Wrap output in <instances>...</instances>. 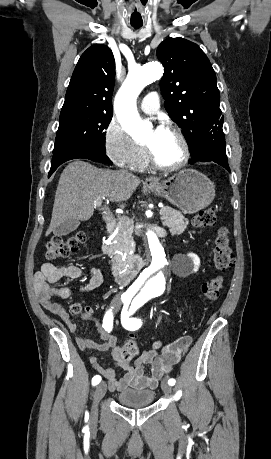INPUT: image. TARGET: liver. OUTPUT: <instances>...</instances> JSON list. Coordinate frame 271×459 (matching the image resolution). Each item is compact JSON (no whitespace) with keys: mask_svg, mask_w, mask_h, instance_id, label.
Masks as SVG:
<instances>
[{"mask_svg":"<svg viewBox=\"0 0 271 459\" xmlns=\"http://www.w3.org/2000/svg\"><path fill=\"white\" fill-rule=\"evenodd\" d=\"M141 182L130 172L102 170L80 160L71 162L60 176L50 226L45 235L71 218L82 222L90 220L96 204L100 206L105 198L110 202H126Z\"/></svg>","mask_w":271,"mask_h":459,"instance_id":"obj_1","label":"liver"}]
</instances>
